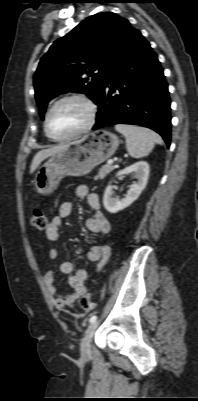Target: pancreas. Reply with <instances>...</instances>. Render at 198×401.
Listing matches in <instances>:
<instances>
[{
	"label": "pancreas",
	"mask_w": 198,
	"mask_h": 401,
	"mask_svg": "<svg viewBox=\"0 0 198 401\" xmlns=\"http://www.w3.org/2000/svg\"><path fill=\"white\" fill-rule=\"evenodd\" d=\"M115 167L112 164L107 163L102 166L97 175L94 177V180L104 179L107 174L113 171Z\"/></svg>",
	"instance_id": "obj_1"
}]
</instances>
